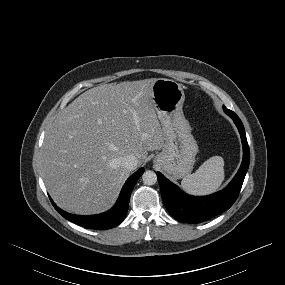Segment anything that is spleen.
<instances>
[{"mask_svg":"<svg viewBox=\"0 0 285 285\" xmlns=\"http://www.w3.org/2000/svg\"><path fill=\"white\" fill-rule=\"evenodd\" d=\"M224 160L213 156L206 160L193 174L185 176L181 185L192 195H207L215 192L224 181Z\"/></svg>","mask_w":285,"mask_h":285,"instance_id":"spleen-1","label":"spleen"}]
</instances>
